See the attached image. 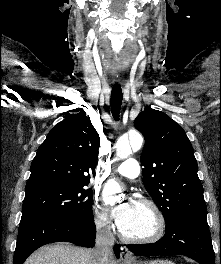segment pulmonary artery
<instances>
[{
    "mask_svg": "<svg viewBox=\"0 0 221 264\" xmlns=\"http://www.w3.org/2000/svg\"><path fill=\"white\" fill-rule=\"evenodd\" d=\"M116 173L127 178H136L140 174L139 163L136 159L129 158L117 167Z\"/></svg>",
    "mask_w": 221,
    "mask_h": 264,
    "instance_id": "pulmonary-artery-1",
    "label": "pulmonary artery"
}]
</instances>
